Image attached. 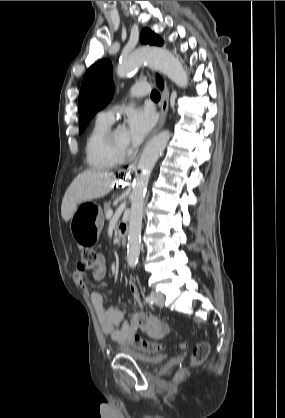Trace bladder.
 I'll return each instance as SVG.
<instances>
[{
  "label": "bladder",
  "instance_id": "31cf9c89",
  "mask_svg": "<svg viewBox=\"0 0 285 418\" xmlns=\"http://www.w3.org/2000/svg\"><path fill=\"white\" fill-rule=\"evenodd\" d=\"M120 351L133 358L137 363L142 365H154L165 359L166 355L150 352H139L129 347H120Z\"/></svg>",
  "mask_w": 285,
  "mask_h": 418
}]
</instances>
